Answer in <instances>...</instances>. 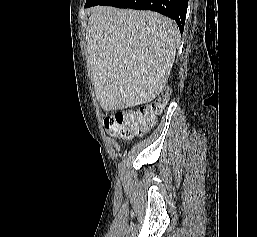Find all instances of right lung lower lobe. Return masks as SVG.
<instances>
[{
    "mask_svg": "<svg viewBox=\"0 0 257 237\" xmlns=\"http://www.w3.org/2000/svg\"><path fill=\"white\" fill-rule=\"evenodd\" d=\"M102 5L159 12L175 20L182 33L188 0H106Z\"/></svg>",
    "mask_w": 257,
    "mask_h": 237,
    "instance_id": "right-lung-lower-lobe-1",
    "label": "right lung lower lobe"
}]
</instances>
